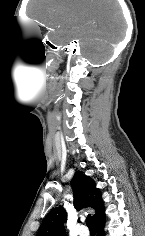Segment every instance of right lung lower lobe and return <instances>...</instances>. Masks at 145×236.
Returning a JSON list of instances; mask_svg holds the SVG:
<instances>
[{"label": "right lung lower lobe", "mask_w": 145, "mask_h": 236, "mask_svg": "<svg viewBox=\"0 0 145 236\" xmlns=\"http://www.w3.org/2000/svg\"><path fill=\"white\" fill-rule=\"evenodd\" d=\"M106 221V216L104 215L102 218H100L99 220H97L95 222L96 228H97V236H104L105 232H104V224Z\"/></svg>", "instance_id": "1"}]
</instances>
